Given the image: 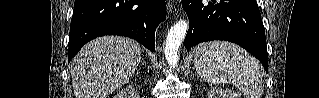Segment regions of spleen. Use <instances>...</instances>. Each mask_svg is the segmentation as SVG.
I'll return each mask as SVG.
<instances>
[{
  "label": "spleen",
  "mask_w": 319,
  "mask_h": 98,
  "mask_svg": "<svg viewBox=\"0 0 319 98\" xmlns=\"http://www.w3.org/2000/svg\"><path fill=\"white\" fill-rule=\"evenodd\" d=\"M197 73L212 84H232L247 98H261V66L239 46L221 41L203 44L194 57Z\"/></svg>",
  "instance_id": "obj_1"
}]
</instances>
